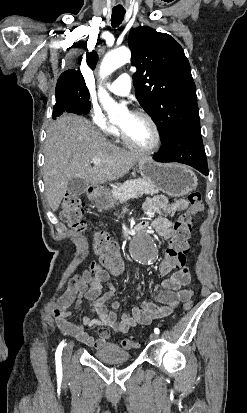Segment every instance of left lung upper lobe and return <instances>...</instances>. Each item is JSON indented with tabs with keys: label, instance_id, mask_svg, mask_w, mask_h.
Here are the masks:
<instances>
[{
	"label": "left lung upper lobe",
	"instance_id": "1",
	"mask_svg": "<svg viewBox=\"0 0 247 413\" xmlns=\"http://www.w3.org/2000/svg\"><path fill=\"white\" fill-rule=\"evenodd\" d=\"M136 97L160 131L161 142L179 131L200 132L196 86L182 47L168 34L138 27L128 38Z\"/></svg>",
	"mask_w": 247,
	"mask_h": 413
}]
</instances>
